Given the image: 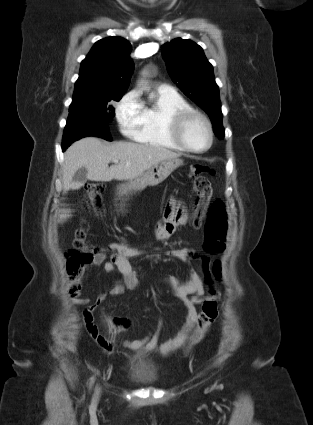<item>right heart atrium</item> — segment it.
Instances as JSON below:
<instances>
[{
    "label": "right heart atrium",
    "mask_w": 313,
    "mask_h": 425,
    "mask_svg": "<svg viewBox=\"0 0 313 425\" xmlns=\"http://www.w3.org/2000/svg\"><path fill=\"white\" fill-rule=\"evenodd\" d=\"M115 115L120 130L127 136H133L142 124L143 105L136 91L125 94L117 103Z\"/></svg>",
    "instance_id": "1"
}]
</instances>
